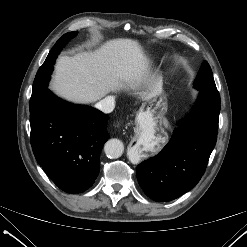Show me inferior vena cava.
Instances as JSON below:
<instances>
[{
  "label": "inferior vena cava",
  "mask_w": 247,
  "mask_h": 247,
  "mask_svg": "<svg viewBox=\"0 0 247 247\" xmlns=\"http://www.w3.org/2000/svg\"><path fill=\"white\" fill-rule=\"evenodd\" d=\"M95 107L103 113H111L115 108V100L112 96H107L95 104Z\"/></svg>",
  "instance_id": "1"
}]
</instances>
